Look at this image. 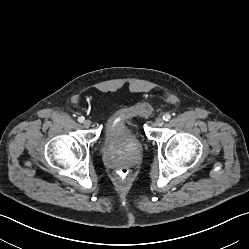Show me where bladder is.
I'll return each mask as SVG.
<instances>
[{
    "instance_id": "obj_1",
    "label": "bladder",
    "mask_w": 249,
    "mask_h": 249,
    "mask_svg": "<svg viewBox=\"0 0 249 249\" xmlns=\"http://www.w3.org/2000/svg\"><path fill=\"white\" fill-rule=\"evenodd\" d=\"M149 112L150 108L144 102L134 103L116 112L106 122L105 136L103 139L104 145L109 146L115 143L119 131L125 129L127 130L125 134L131 137L138 146H142V140L134 126V120L148 117Z\"/></svg>"
}]
</instances>
